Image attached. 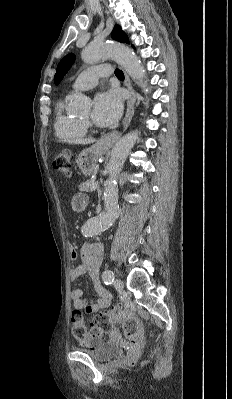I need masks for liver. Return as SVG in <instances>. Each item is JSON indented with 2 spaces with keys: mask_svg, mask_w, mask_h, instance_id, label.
<instances>
[{
  "mask_svg": "<svg viewBox=\"0 0 232 399\" xmlns=\"http://www.w3.org/2000/svg\"><path fill=\"white\" fill-rule=\"evenodd\" d=\"M93 140H73L72 144H92Z\"/></svg>",
  "mask_w": 232,
  "mask_h": 399,
  "instance_id": "liver-1",
  "label": "liver"
}]
</instances>
